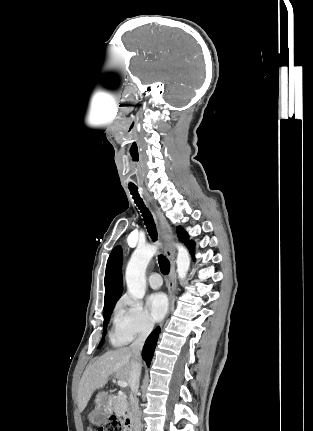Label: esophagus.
<instances>
[{
  "instance_id": "1",
  "label": "esophagus",
  "mask_w": 313,
  "mask_h": 431,
  "mask_svg": "<svg viewBox=\"0 0 313 431\" xmlns=\"http://www.w3.org/2000/svg\"><path fill=\"white\" fill-rule=\"evenodd\" d=\"M145 197H146V200H147L149 206L151 207L155 216L158 219L160 236H161V239L163 240V242L165 243V249H164L165 254L170 261V273H169V278H168V282H167V287H168V294H169V299H170L169 312H171L174 308L175 283H176L175 249L170 244V242L173 240V233H172L171 228L169 227V224H168L166 218L164 217V215L160 211V209L157 207V205L154 203L152 198L148 194H145Z\"/></svg>"
}]
</instances>
